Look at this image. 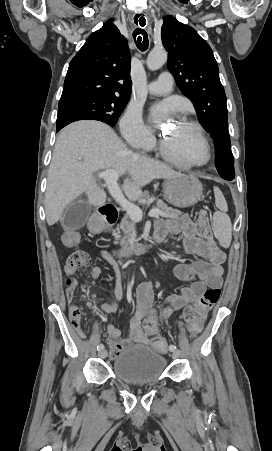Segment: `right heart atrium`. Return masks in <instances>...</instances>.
I'll list each match as a JSON object with an SVG mask.
<instances>
[{
    "instance_id": "d8ad5b80",
    "label": "right heart atrium",
    "mask_w": 272,
    "mask_h": 451,
    "mask_svg": "<svg viewBox=\"0 0 272 451\" xmlns=\"http://www.w3.org/2000/svg\"><path fill=\"white\" fill-rule=\"evenodd\" d=\"M121 126L125 138L131 145L144 147L150 144L152 134L138 108L132 107L125 113Z\"/></svg>"
}]
</instances>
